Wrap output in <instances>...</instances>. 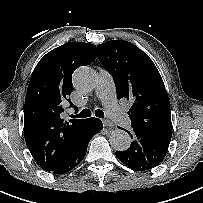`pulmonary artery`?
Listing matches in <instances>:
<instances>
[{"label": "pulmonary artery", "instance_id": "1", "mask_svg": "<svg viewBox=\"0 0 203 203\" xmlns=\"http://www.w3.org/2000/svg\"><path fill=\"white\" fill-rule=\"evenodd\" d=\"M96 94L98 98L101 99L110 118L120 126L129 128L131 125V120L118 105L113 78L111 74L105 69H101L99 71V80L96 88Z\"/></svg>", "mask_w": 203, "mask_h": 203}]
</instances>
